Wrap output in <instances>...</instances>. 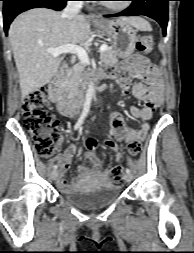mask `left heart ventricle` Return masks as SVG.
Returning <instances> with one entry per match:
<instances>
[{"instance_id":"obj_1","label":"left heart ventricle","mask_w":194,"mask_h":253,"mask_svg":"<svg viewBox=\"0 0 194 253\" xmlns=\"http://www.w3.org/2000/svg\"><path fill=\"white\" fill-rule=\"evenodd\" d=\"M112 3H114V4H118V3H120V2H112Z\"/></svg>"}]
</instances>
